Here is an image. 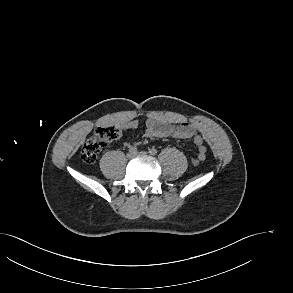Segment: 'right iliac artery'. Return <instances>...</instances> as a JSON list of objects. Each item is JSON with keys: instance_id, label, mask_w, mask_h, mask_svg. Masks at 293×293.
<instances>
[{"instance_id": "obj_1", "label": "right iliac artery", "mask_w": 293, "mask_h": 293, "mask_svg": "<svg viewBox=\"0 0 293 293\" xmlns=\"http://www.w3.org/2000/svg\"><path fill=\"white\" fill-rule=\"evenodd\" d=\"M129 152H134V153H136V152H137V148L134 147V146H131V147H129Z\"/></svg>"}]
</instances>
